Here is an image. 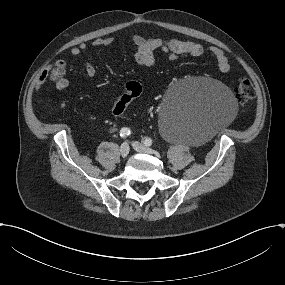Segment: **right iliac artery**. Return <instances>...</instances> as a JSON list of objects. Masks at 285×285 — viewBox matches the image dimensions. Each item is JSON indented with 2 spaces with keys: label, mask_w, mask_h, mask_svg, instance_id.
I'll list each match as a JSON object with an SVG mask.
<instances>
[{
  "label": "right iliac artery",
  "mask_w": 285,
  "mask_h": 285,
  "mask_svg": "<svg viewBox=\"0 0 285 285\" xmlns=\"http://www.w3.org/2000/svg\"><path fill=\"white\" fill-rule=\"evenodd\" d=\"M130 134H131V130L129 128L124 127L120 130V136L123 138L129 136Z\"/></svg>",
  "instance_id": "right-iliac-artery-1"
}]
</instances>
